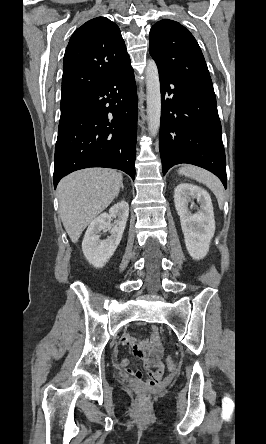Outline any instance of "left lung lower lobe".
<instances>
[{
    "label": "left lung lower lobe",
    "instance_id": "0a47b994",
    "mask_svg": "<svg viewBox=\"0 0 266 444\" xmlns=\"http://www.w3.org/2000/svg\"><path fill=\"white\" fill-rule=\"evenodd\" d=\"M158 70L163 174L176 164H193L214 173L226 188L225 151L212 81L181 79Z\"/></svg>",
    "mask_w": 266,
    "mask_h": 444
}]
</instances>
